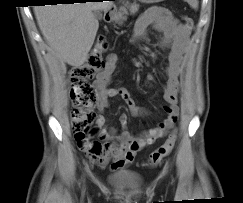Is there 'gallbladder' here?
Returning <instances> with one entry per match:
<instances>
[{
  "label": "gallbladder",
  "instance_id": "gallbladder-1",
  "mask_svg": "<svg viewBox=\"0 0 243 203\" xmlns=\"http://www.w3.org/2000/svg\"><path fill=\"white\" fill-rule=\"evenodd\" d=\"M94 16L97 20L102 18V13L100 11H94Z\"/></svg>",
  "mask_w": 243,
  "mask_h": 203
}]
</instances>
